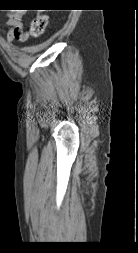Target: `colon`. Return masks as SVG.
<instances>
[{"label":"colon","mask_w":138,"mask_h":253,"mask_svg":"<svg viewBox=\"0 0 138 253\" xmlns=\"http://www.w3.org/2000/svg\"><path fill=\"white\" fill-rule=\"evenodd\" d=\"M47 24L48 16L46 14H38L31 23L30 36L34 38L41 37L46 30Z\"/></svg>","instance_id":"colon-1"}]
</instances>
